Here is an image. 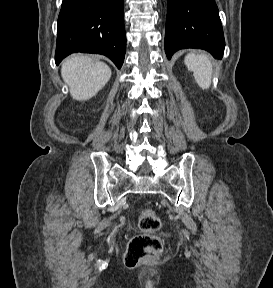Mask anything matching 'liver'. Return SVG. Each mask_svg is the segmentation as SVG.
I'll use <instances>...</instances> for the list:
<instances>
[{
  "label": "liver",
  "instance_id": "liver-1",
  "mask_svg": "<svg viewBox=\"0 0 273 288\" xmlns=\"http://www.w3.org/2000/svg\"><path fill=\"white\" fill-rule=\"evenodd\" d=\"M61 75L70 87L73 99L86 101L106 85L111 77V69L101 61H93L88 56L75 55L63 62Z\"/></svg>",
  "mask_w": 273,
  "mask_h": 288
}]
</instances>
